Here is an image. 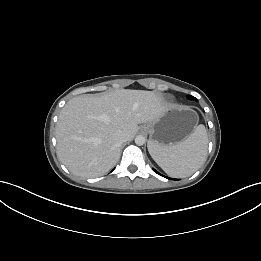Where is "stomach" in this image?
I'll return each instance as SVG.
<instances>
[{"label":"stomach","mask_w":261,"mask_h":261,"mask_svg":"<svg viewBox=\"0 0 261 261\" xmlns=\"http://www.w3.org/2000/svg\"><path fill=\"white\" fill-rule=\"evenodd\" d=\"M198 114L185 106H170L157 119L145 123L142 130L149 134L150 141L167 147L187 138L197 127Z\"/></svg>","instance_id":"stomach-1"}]
</instances>
